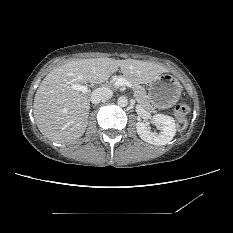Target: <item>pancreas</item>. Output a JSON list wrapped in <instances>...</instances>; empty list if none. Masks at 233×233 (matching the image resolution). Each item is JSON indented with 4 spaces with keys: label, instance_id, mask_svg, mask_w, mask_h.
<instances>
[{
    "label": "pancreas",
    "instance_id": "cf45deb5",
    "mask_svg": "<svg viewBox=\"0 0 233 233\" xmlns=\"http://www.w3.org/2000/svg\"><path fill=\"white\" fill-rule=\"evenodd\" d=\"M119 77H124V76H118V77L112 78L111 83L114 84L116 79L119 78ZM126 80L131 82V84H132V88H133V91H134V98L137 101V103L139 105H141L143 108H145L146 110L153 111L154 109H153V107L151 106V104H150V102L148 100V96L146 94L145 89L136 82H132V81H130L128 79H126Z\"/></svg>",
    "mask_w": 233,
    "mask_h": 233
}]
</instances>
